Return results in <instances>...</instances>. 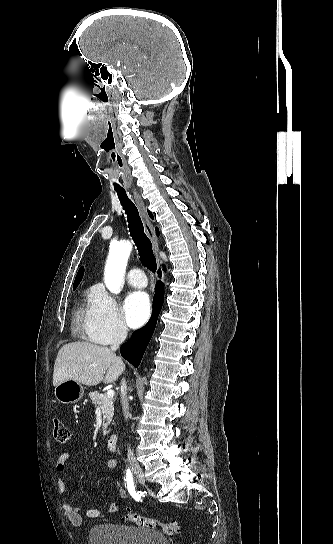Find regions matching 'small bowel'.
<instances>
[{"label": "small bowel", "mask_w": 333, "mask_h": 544, "mask_svg": "<svg viewBox=\"0 0 333 544\" xmlns=\"http://www.w3.org/2000/svg\"><path fill=\"white\" fill-rule=\"evenodd\" d=\"M70 458H71V455L69 453H63L58 458L56 463V471L60 475L64 473L67 462L69 461ZM106 466L108 469H114L117 467V461L115 459H109L106 463ZM57 485H58L60 496L63 499L62 508L64 510L66 517L69 519V521L71 522L73 526L75 527L81 526L83 522V516L89 520H99L106 516L99 509H85L82 506L74 505L70 503L67 500L66 485L61 476L58 477ZM113 486L118 487V484L114 482ZM119 495L121 498L128 497V493L122 488L119 489ZM118 509H119V506L115 502L111 503L109 506V512H116L118 511Z\"/></svg>", "instance_id": "small-bowel-1"}]
</instances>
